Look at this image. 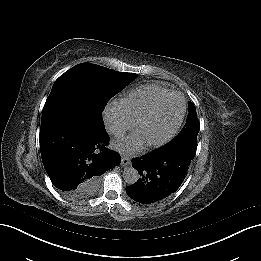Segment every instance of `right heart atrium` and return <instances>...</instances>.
<instances>
[{"mask_svg": "<svg viewBox=\"0 0 261 261\" xmlns=\"http://www.w3.org/2000/svg\"><path fill=\"white\" fill-rule=\"evenodd\" d=\"M102 119L108 129L115 135H122L128 128L127 122L119 115L114 103L105 105L102 111Z\"/></svg>", "mask_w": 261, "mask_h": 261, "instance_id": "obj_1", "label": "right heart atrium"}]
</instances>
